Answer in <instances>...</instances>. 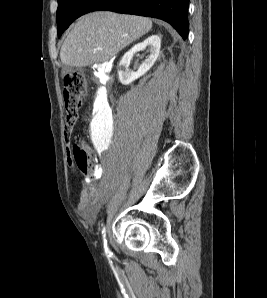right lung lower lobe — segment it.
<instances>
[{
    "mask_svg": "<svg viewBox=\"0 0 267 298\" xmlns=\"http://www.w3.org/2000/svg\"><path fill=\"white\" fill-rule=\"evenodd\" d=\"M188 4V0H99L90 12L108 10L162 19L186 39L189 28Z\"/></svg>",
    "mask_w": 267,
    "mask_h": 298,
    "instance_id": "98d812e1",
    "label": "right lung lower lobe"
}]
</instances>
